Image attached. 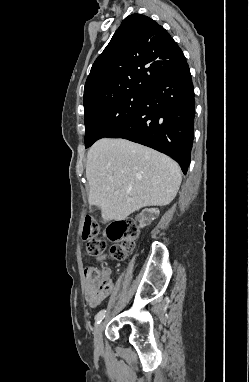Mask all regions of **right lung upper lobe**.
<instances>
[{
  "label": "right lung upper lobe",
  "mask_w": 249,
  "mask_h": 382,
  "mask_svg": "<svg viewBox=\"0 0 249 382\" xmlns=\"http://www.w3.org/2000/svg\"><path fill=\"white\" fill-rule=\"evenodd\" d=\"M186 58L168 32L151 18L126 17L95 60L84 88V108L131 92H147Z\"/></svg>",
  "instance_id": "cb5924a9"
}]
</instances>
